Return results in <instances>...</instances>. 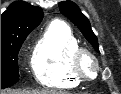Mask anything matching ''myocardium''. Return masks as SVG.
<instances>
[{"label": "myocardium", "mask_w": 121, "mask_h": 94, "mask_svg": "<svg viewBox=\"0 0 121 94\" xmlns=\"http://www.w3.org/2000/svg\"><path fill=\"white\" fill-rule=\"evenodd\" d=\"M90 59L93 62L94 68L91 73H87L83 70L82 62L84 59ZM71 68L75 76L80 81L92 80V75L98 73L100 70V64L95 55L86 48L80 47L77 49L71 58Z\"/></svg>", "instance_id": "f54148a6"}]
</instances>
